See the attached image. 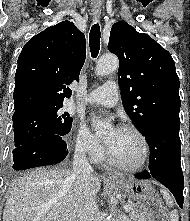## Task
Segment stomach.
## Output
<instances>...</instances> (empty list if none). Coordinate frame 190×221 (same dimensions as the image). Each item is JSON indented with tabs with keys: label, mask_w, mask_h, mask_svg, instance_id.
Returning a JSON list of instances; mask_svg holds the SVG:
<instances>
[{
	"label": "stomach",
	"mask_w": 190,
	"mask_h": 221,
	"mask_svg": "<svg viewBox=\"0 0 190 221\" xmlns=\"http://www.w3.org/2000/svg\"><path fill=\"white\" fill-rule=\"evenodd\" d=\"M115 184L135 201L146 218L144 221H168L166 210L149 180L118 177Z\"/></svg>",
	"instance_id": "1"
}]
</instances>
